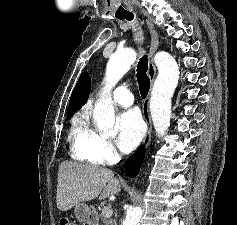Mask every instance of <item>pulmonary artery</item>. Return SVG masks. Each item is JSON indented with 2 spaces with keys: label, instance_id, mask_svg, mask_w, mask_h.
<instances>
[{
  "label": "pulmonary artery",
  "instance_id": "e3ab8cb5",
  "mask_svg": "<svg viewBox=\"0 0 237 225\" xmlns=\"http://www.w3.org/2000/svg\"><path fill=\"white\" fill-rule=\"evenodd\" d=\"M112 99L123 107H130L134 102L133 95L126 86L117 87L112 93Z\"/></svg>",
  "mask_w": 237,
  "mask_h": 225
}]
</instances>
